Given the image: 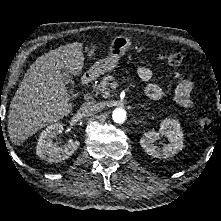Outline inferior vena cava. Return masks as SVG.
Segmentation results:
<instances>
[{
    "instance_id": "602c4592",
    "label": "inferior vena cava",
    "mask_w": 221,
    "mask_h": 221,
    "mask_svg": "<svg viewBox=\"0 0 221 221\" xmlns=\"http://www.w3.org/2000/svg\"><path fill=\"white\" fill-rule=\"evenodd\" d=\"M100 110L99 103L95 101H88L81 105L80 112L84 116H90L97 113Z\"/></svg>"
}]
</instances>
